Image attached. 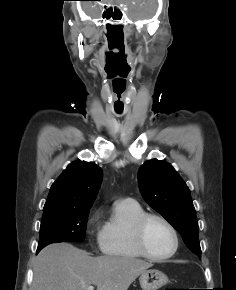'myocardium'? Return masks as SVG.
<instances>
[{
  "instance_id": "obj_1",
  "label": "myocardium",
  "mask_w": 236,
  "mask_h": 290,
  "mask_svg": "<svg viewBox=\"0 0 236 290\" xmlns=\"http://www.w3.org/2000/svg\"><path fill=\"white\" fill-rule=\"evenodd\" d=\"M150 220H158L162 222L163 224L166 225V227L170 230L172 234L174 245H173L172 250L166 255H161V256L154 255L147 248L146 241H145V229H146L147 223ZM133 237H134L136 247L138 251L140 252V254L143 257L153 260V261H164V260L170 259L177 253L178 248H179V236H178V232L176 228L167 218L157 213L142 214L133 224Z\"/></svg>"
}]
</instances>
